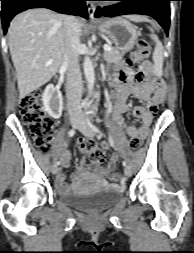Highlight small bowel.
<instances>
[{
	"label": "small bowel",
	"instance_id": "obj_1",
	"mask_svg": "<svg viewBox=\"0 0 194 253\" xmlns=\"http://www.w3.org/2000/svg\"><path fill=\"white\" fill-rule=\"evenodd\" d=\"M138 61L141 63L140 72L134 71L125 65H121L114 69L110 75L111 80V97L114 103L112 118L115 123L124 128L126 133L132 137L144 139L150 130L153 116L157 106L164 100L165 85L162 81L152 77L150 71L153 69V63L148 60V56H138ZM133 96L137 99L145 101V106L135 107L133 110L134 116L140 119L139 127L134 125H125L123 122V114L128 111L127 99ZM111 141H103L101 150L107 151L111 148ZM71 159V152L67 149L61 153L62 166L68 167ZM119 161V154L113 153L110 155L109 161L105 167H100L96 164L93 166L86 163V156L82 158L78 173H84L94 170L99 176L107 177L116 167ZM55 184L60 191L69 189L66 176L59 173L55 179Z\"/></svg>",
	"mask_w": 194,
	"mask_h": 253
}]
</instances>
